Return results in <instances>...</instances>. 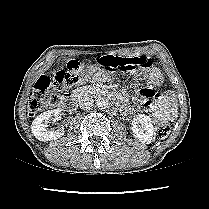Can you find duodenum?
Masks as SVG:
<instances>
[{
    "mask_svg": "<svg viewBox=\"0 0 209 209\" xmlns=\"http://www.w3.org/2000/svg\"><path fill=\"white\" fill-rule=\"evenodd\" d=\"M114 96L120 100V98L116 94H114ZM79 97H80V93H73L71 95H65L61 101V105L64 108L74 109Z\"/></svg>",
    "mask_w": 209,
    "mask_h": 209,
    "instance_id": "obj_1",
    "label": "duodenum"
}]
</instances>
